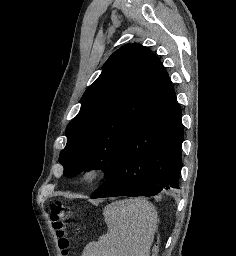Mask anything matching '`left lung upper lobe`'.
I'll use <instances>...</instances> for the list:
<instances>
[{"instance_id": "left-lung-upper-lobe-1", "label": "left lung upper lobe", "mask_w": 236, "mask_h": 256, "mask_svg": "<svg viewBox=\"0 0 236 256\" xmlns=\"http://www.w3.org/2000/svg\"><path fill=\"white\" fill-rule=\"evenodd\" d=\"M175 95L159 58L147 47L126 44L114 52L85 91L66 128L59 161L67 177L102 169L107 179L138 124Z\"/></svg>"}]
</instances>
